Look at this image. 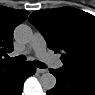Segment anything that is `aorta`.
Instances as JSON below:
<instances>
[{
	"label": "aorta",
	"instance_id": "aorta-1",
	"mask_svg": "<svg viewBox=\"0 0 95 95\" xmlns=\"http://www.w3.org/2000/svg\"><path fill=\"white\" fill-rule=\"evenodd\" d=\"M15 38L23 43H27L33 36L32 29L25 24L16 27L14 31ZM40 84L44 90H51L56 84V78L53 74L47 72L41 75Z\"/></svg>",
	"mask_w": 95,
	"mask_h": 95
}]
</instances>
